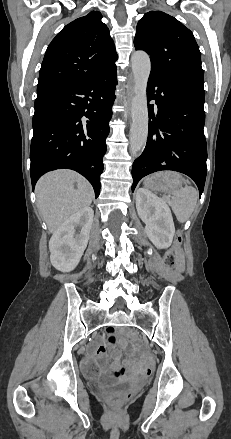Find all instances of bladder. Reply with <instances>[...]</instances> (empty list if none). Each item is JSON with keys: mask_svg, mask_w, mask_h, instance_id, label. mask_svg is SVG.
Returning <instances> with one entry per match:
<instances>
[{"mask_svg": "<svg viewBox=\"0 0 231 439\" xmlns=\"http://www.w3.org/2000/svg\"><path fill=\"white\" fill-rule=\"evenodd\" d=\"M94 370H95V367L90 362L84 361L82 363V371H83V373L85 375L92 374L94 372ZM129 385L130 384H128V383L122 384L121 388L122 389H127L129 387Z\"/></svg>", "mask_w": 231, "mask_h": 439, "instance_id": "bladder-1", "label": "bladder"}]
</instances>
